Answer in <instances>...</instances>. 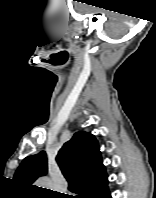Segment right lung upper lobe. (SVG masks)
<instances>
[{
	"label": "right lung upper lobe",
	"mask_w": 156,
	"mask_h": 198,
	"mask_svg": "<svg viewBox=\"0 0 156 198\" xmlns=\"http://www.w3.org/2000/svg\"><path fill=\"white\" fill-rule=\"evenodd\" d=\"M56 161L69 183V190L82 194L83 198H95L107 188L108 177L94 135L76 132L60 149ZM46 173L47 158L45 152H41L26 157L15 172L14 179L31 186Z\"/></svg>",
	"instance_id": "obj_1"
}]
</instances>
